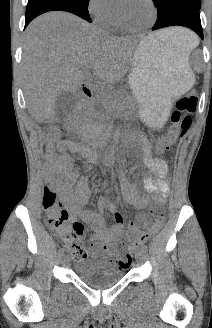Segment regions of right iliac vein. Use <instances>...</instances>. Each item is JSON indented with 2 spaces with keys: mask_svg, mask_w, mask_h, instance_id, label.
<instances>
[{
  "mask_svg": "<svg viewBox=\"0 0 212 328\" xmlns=\"http://www.w3.org/2000/svg\"><path fill=\"white\" fill-rule=\"evenodd\" d=\"M62 260H63L64 263H67L68 262V257H67L66 254H63L62 255Z\"/></svg>",
  "mask_w": 212,
  "mask_h": 328,
  "instance_id": "obj_1",
  "label": "right iliac vein"
}]
</instances>
